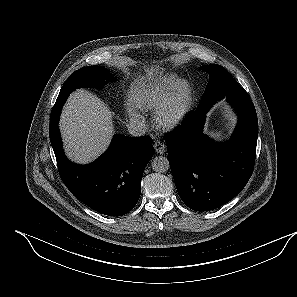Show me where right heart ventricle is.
I'll use <instances>...</instances> for the list:
<instances>
[{
  "label": "right heart ventricle",
  "instance_id": "1",
  "mask_svg": "<svg viewBox=\"0 0 297 297\" xmlns=\"http://www.w3.org/2000/svg\"><path fill=\"white\" fill-rule=\"evenodd\" d=\"M178 81L174 75L138 81L131 90L133 105L143 110L156 109L167 99Z\"/></svg>",
  "mask_w": 297,
  "mask_h": 297
}]
</instances>
